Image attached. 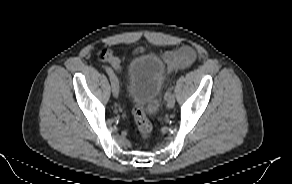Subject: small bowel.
Segmentation results:
<instances>
[{
    "label": "small bowel",
    "instance_id": "c3829d8e",
    "mask_svg": "<svg viewBox=\"0 0 292 184\" xmlns=\"http://www.w3.org/2000/svg\"><path fill=\"white\" fill-rule=\"evenodd\" d=\"M196 54L192 47L185 45L163 54V59L167 65V72L172 73L175 70L188 68L195 61ZM115 69H119L121 62L119 58L114 57L109 62Z\"/></svg>",
    "mask_w": 292,
    "mask_h": 184
}]
</instances>
